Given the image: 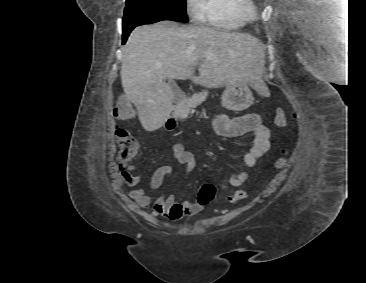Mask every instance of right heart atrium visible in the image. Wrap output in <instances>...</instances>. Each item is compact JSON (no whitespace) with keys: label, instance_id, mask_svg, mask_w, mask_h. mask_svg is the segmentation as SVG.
I'll return each mask as SVG.
<instances>
[{"label":"right heart atrium","instance_id":"obj_1","mask_svg":"<svg viewBox=\"0 0 366 283\" xmlns=\"http://www.w3.org/2000/svg\"><path fill=\"white\" fill-rule=\"evenodd\" d=\"M189 13L196 19H200L203 11L204 0H185Z\"/></svg>","mask_w":366,"mask_h":283}]
</instances>
